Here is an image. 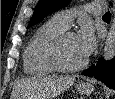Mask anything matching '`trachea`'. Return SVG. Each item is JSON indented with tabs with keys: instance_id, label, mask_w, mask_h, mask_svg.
<instances>
[{
	"instance_id": "1",
	"label": "trachea",
	"mask_w": 115,
	"mask_h": 99,
	"mask_svg": "<svg viewBox=\"0 0 115 99\" xmlns=\"http://www.w3.org/2000/svg\"><path fill=\"white\" fill-rule=\"evenodd\" d=\"M110 16H111V14H110L109 11H108L106 14L103 15V17H108V18H109Z\"/></svg>"
}]
</instances>
